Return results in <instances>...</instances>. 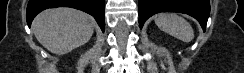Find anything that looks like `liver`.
<instances>
[{
  "mask_svg": "<svg viewBox=\"0 0 244 73\" xmlns=\"http://www.w3.org/2000/svg\"><path fill=\"white\" fill-rule=\"evenodd\" d=\"M94 27L93 17L70 7L47 9L33 21L37 40L56 55L67 54L87 43Z\"/></svg>",
  "mask_w": 244,
  "mask_h": 73,
  "instance_id": "1",
  "label": "liver"
}]
</instances>
